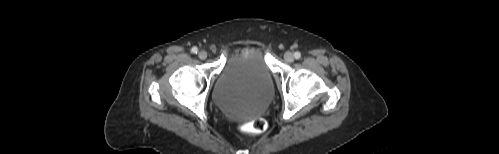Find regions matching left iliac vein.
Masks as SVG:
<instances>
[{
	"label": "left iliac vein",
	"mask_w": 499,
	"mask_h": 154,
	"mask_svg": "<svg viewBox=\"0 0 499 154\" xmlns=\"http://www.w3.org/2000/svg\"><path fill=\"white\" fill-rule=\"evenodd\" d=\"M284 58L286 61L288 62H293L294 61V55L292 52L290 51H287L285 54H284Z\"/></svg>",
	"instance_id": "1"
}]
</instances>
